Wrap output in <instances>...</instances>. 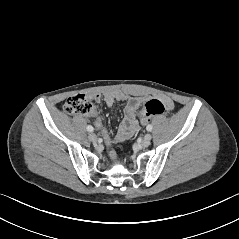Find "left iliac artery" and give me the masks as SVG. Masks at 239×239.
<instances>
[{
  "instance_id": "44dca946",
  "label": "left iliac artery",
  "mask_w": 239,
  "mask_h": 239,
  "mask_svg": "<svg viewBox=\"0 0 239 239\" xmlns=\"http://www.w3.org/2000/svg\"><path fill=\"white\" fill-rule=\"evenodd\" d=\"M146 129H147V131H152V129H153V127H152V125L151 124H149L147 127H146Z\"/></svg>"
}]
</instances>
